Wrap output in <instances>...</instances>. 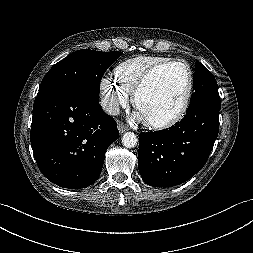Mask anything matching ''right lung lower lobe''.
Returning a JSON list of instances; mask_svg holds the SVG:
<instances>
[{
    "instance_id": "1",
    "label": "right lung lower lobe",
    "mask_w": 253,
    "mask_h": 253,
    "mask_svg": "<svg viewBox=\"0 0 253 253\" xmlns=\"http://www.w3.org/2000/svg\"><path fill=\"white\" fill-rule=\"evenodd\" d=\"M30 135L41 173L60 187L76 189L97 180L119 131L99 100L50 89L37 94Z\"/></svg>"
}]
</instances>
